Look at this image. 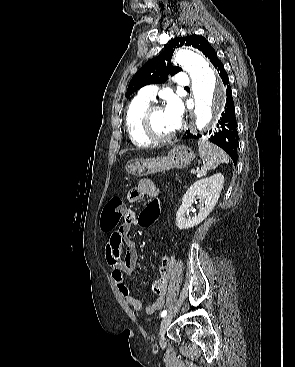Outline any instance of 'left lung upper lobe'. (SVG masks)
<instances>
[{
    "instance_id": "left-lung-upper-lobe-1",
    "label": "left lung upper lobe",
    "mask_w": 295,
    "mask_h": 367,
    "mask_svg": "<svg viewBox=\"0 0 295 367\" xmlns=\"http://www.w3.org/2000/svg\"><path fill=\"white\" fill-rule=\"evenodd\" d=\"M182 46H192L201 51L213 64L217 57L214 48L209 44L208 40L200 35H188L185 37H176L172 39L168 48L158 56L147 61L132 77L126 97L137 91L143 86L149 84L163 83L166 81L168 74L174 75L182 69L167 65L165 61L169 60L176 48Z\"/></svg>"
}]
</instances>
